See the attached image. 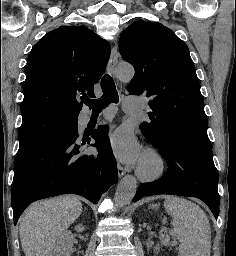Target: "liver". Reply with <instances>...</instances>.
I'll return each instance as SVG.
<instances>
[{"label": "liver", "instance_id": "6515ba94", "mask_svg": "<svg viewBox=\"0 0 236 256\" xmlns=\"http://www.w3.org/2000/svg\"><path fill=\"white\" fill-rule=\"evenodd\" d=\"M82 204L75 196L35 202L20 218L19 234L25 256H53L57 240L79 218Z\"/></svg>", "mask_w": 236, "mask_h": 256}]
</instances>
